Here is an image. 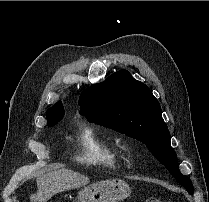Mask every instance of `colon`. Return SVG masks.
<instances>
[{
	"mask_svg": "<svg viewBox=\"0 0 209 202\" xmlns=\"http://www.w3.org/2000/svg\"><path fill=\"white\" fill-rule=\"evenodd\" d=\"M144 202H165V201L158 198H148Z\"/></svg>",
	"mask_w": 209,
	"mask_h": 202,
	"instance_id": "colon-1",
	"label": "colon"
}]
</instances>
